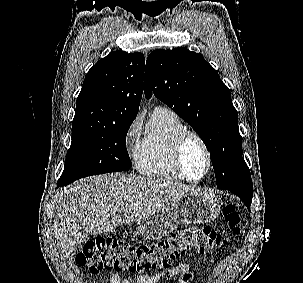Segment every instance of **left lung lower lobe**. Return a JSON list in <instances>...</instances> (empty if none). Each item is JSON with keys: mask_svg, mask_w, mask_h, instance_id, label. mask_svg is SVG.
Listing matches in <instances>:
<instances>
[{"mask_svg": "<svg viewBox=\"0 0 303 283\" xmlns=\"http://www.w3.org/2000/svg\"><path fill=\"white\" fill-rule=\"evenodd\" d=\"M221 190H228V191H231L232 193L236 194L245 203L248 210H250L253 191H244V190H239V189H234V188H225V189H221Z\"/></svg>", "mask_w": 303, "mask_h": 283, "instance_id": "0a47b994", "label": "left lung lower lobe"}]
</instances>
